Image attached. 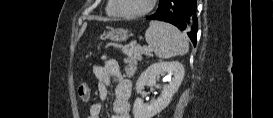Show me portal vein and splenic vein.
<instances>
[{"label":"portal vein and splenic vein","instance_id":"portal-vein-and-splenic-vein-1","mask_svg":"<svg viewBox=\"0 0 273 118\" xmlns=\"http://www.w3.org/2000/svg\"><path fill=\"white\" fill-rule=\"evenodd\" d=\"M130 50L132 51V49H130ZM141 50H142L145 54L151 52V49H150V48H146V47L142 48Z\"/></svg>","mask_w":273,"mask_h":118}]
</instances>
